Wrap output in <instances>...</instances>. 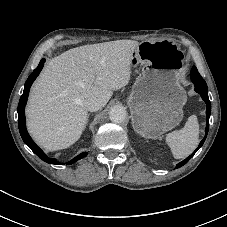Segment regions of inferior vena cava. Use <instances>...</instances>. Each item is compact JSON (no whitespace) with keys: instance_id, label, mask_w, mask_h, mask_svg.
<instances>
[{"instance_id":"obj_1","label":"inferior vena cava","mask_w":227,"mask_h":227,"mask_svg":"<svg viewBox=\"0 0 227 227\" xmlns=\"http://www.w3.org/2000/svg\"><path fill=\"white\" fill-rule=\"evenodd\" d=\"M88 111L94 112L104 106L103 100L97 97H92L85 102Z\"/></svg>"}]
</instances>
